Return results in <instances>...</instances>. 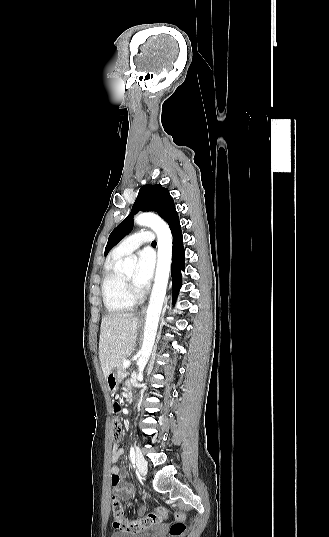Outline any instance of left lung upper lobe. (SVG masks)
<instances>
[{
  "instance_id": "left-lung-upper-lobe-1",
  "label": "left lung upper lobe",
  "mask_w": 329,
  "mask_h": 537,
  "mask_svg": "<svg viewBox=\"0 0 329 537\" xmlns=\"http://www.w3.org/2000/svg\"><path fill=\"white\" fill-rule=\"evenodd\" d=\"M139 211L156 212L162 217L172 230L180 224L173 198L168 189L159 184L144 185L140 188L131 213L110 234L105 247V255L120 241L133 227V214Z\"/></svg>"
}]
</instances>
